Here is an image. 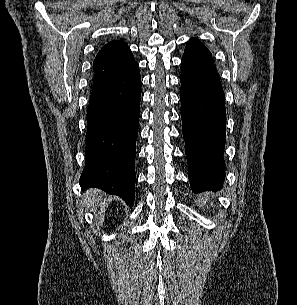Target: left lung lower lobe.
Returning <instances> with one entry per match:
<instances>
[{"instance_id":"1","label":"left lung lower lobe","mask_w":297,"mask_h":305,"mask_svg":"<svg viewBox=\"0 0 297 305\" xmlns=\"http://www.w3.org/2000/svg\"><path fill=\"white\" fill-rule=\"evenodd\" d=\"M181 118L193 191L222 187L226 111L215 67L181 69Z\"/></svg>"}]
</instances>
